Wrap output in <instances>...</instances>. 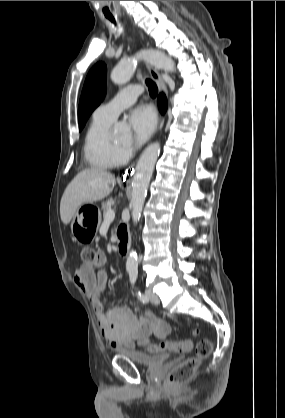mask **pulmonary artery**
I'll return each instance as SVG.
<instances>
[{"instance_id":"e3ab8cb5","label":"pulmonary artery","mask_w":285,"mask_h":418,"mask_svg":"<svg viewBox=\"0 0 285 418\" xmlns=\"http://www.w3.org/2000/svg\"><path fill=\"white\" fill-rule=\"evenodd\" d=\"M142 88L138 84L129 86L121 91L113 100L98 107L94 116L109 122H113L118 114L125 108L132 105L141 94Z\"/></svg>"}]
</instances>
